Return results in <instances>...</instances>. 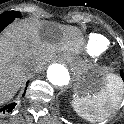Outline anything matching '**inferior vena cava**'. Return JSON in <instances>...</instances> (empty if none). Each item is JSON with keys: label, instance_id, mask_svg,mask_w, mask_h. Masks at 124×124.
Segmentation results:
<instances>
[{"label": "inferior vena cava", "instance_id": "1", "mask_svg": "<svg viewBox=\"0 0 124 124\" xmlns=\"http://www.w3.org/2000/svg\"><path fill=\"white\" fill-rule=\"evenodd\" d=\"M29 69L32 71V72H36L38 70V64L36 62H31L29 64Z\"/></svg>", "mask_w": 124, "mask_h": 124}]
</instances>
